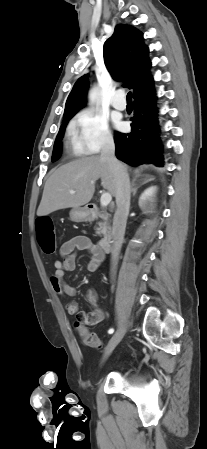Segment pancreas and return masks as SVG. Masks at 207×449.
<instances>
[{
	"label": "pancreas",
	"mask_w": 207,
	"mask_h": 449,
	"mask_svg": "<svg viewBox=\"0 0 207 449\" xmlns=\"http://www.w3.org/2000/svg\"><path fill=\"white\" fill-rule=\"evenodd\" d=\"M99 217L102 219V221H99L97 223L98 227H96L95 229L96 234L100 236H107L110 233L111 228L109 222L107 221L106 214L100 213Z\"/></svg>",
	"instance_id": "1"
}]
</instances>
